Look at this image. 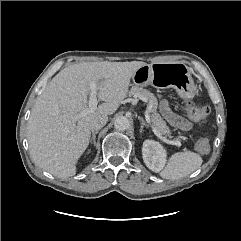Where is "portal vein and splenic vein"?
<instances>
[{
    "instance_id": "18ae733b",
    "label": "portal vein and splenic vein",
    "mask_w": 241,
    "mask_h": 241,
    "mask_svg": "<svg viewBox=\"0 0 241 241\" xmlns=\"http://www.w3.org/2000/svg\"><path fill=\"white\" fill-rule=\"evenodd\" d=\"M89 87H90V95H89L88 105H89L90 111H93L96 109L98 104V101H97L98 84L96 82H91ZM139 98L145 102L147 101L143 97H139ZM145 118H146V121L150 124L151 121H150L149 111H146ZM152 130L156 136H158L162 141L166 142L167 144L181 147V142L169 140L166 137H163L153 126H152Z\"/></svg>"
}]
</instances>
